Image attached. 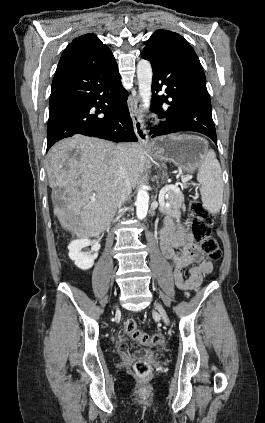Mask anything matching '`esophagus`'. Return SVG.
Masks as SVG:
<instances>
[{
    "instance_id": "esophagus-1",
    "label": "esophagus",
    "mask_w": 265,
    "mask_h": 423,
    "mask_svg": "<svg viewBox=\"0 0 265 423\" xmlns=\"http://www.w3.org/2000/svg\"><path fill=\"white\" fill-rule=\"evenodd\" d=\"M139 101H140L139 96H136L135 98L132 96L129 97L128 105L130 109V114H131V118L133 122L134 131L138 140L143 145H149L150 141H149L147 132L144 129V123H143V119L141 115V106L139 104Z\"/></svg>"
}]
</instances>
